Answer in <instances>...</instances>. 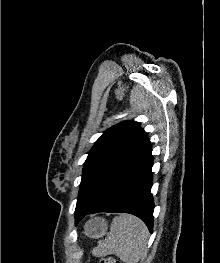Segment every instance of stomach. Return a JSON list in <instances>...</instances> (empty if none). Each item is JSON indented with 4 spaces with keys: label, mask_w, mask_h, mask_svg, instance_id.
I'll return each instance as SVG.
<instances>
[{
    "label": "stomach",
    "mask_w": 220,
    "mask_h": 263,
    "mask_svg": "<svg viewBox=\"0 0 220 263\" xmlns=\"http://www.w3.org/2000/svg\"><path fill=\"white\" fill-rule=\"evenodd\" d=\"M107 223L100 217L89 220L84 226V234L89 238H100L107 232Z\"/></svg>",
    "instance_id": "obj_1"
}]
</instances>
